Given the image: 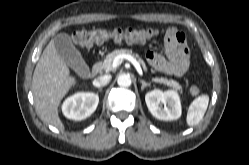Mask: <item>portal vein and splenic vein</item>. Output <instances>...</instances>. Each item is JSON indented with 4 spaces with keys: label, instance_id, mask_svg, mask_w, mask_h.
Listing matches in <instances>:
<instances>
[{
    "label": "portal vein and splenic vein",
    "instance_id": "obj_1",
    "mask_svg": "<svg viewBox=\"0 0 249 165\" xmlns=\"http://www.w3.org/2000/svg\"><path fill=\"white\" fill-rule=\"evenodd\" d=\"M124 59L130 61L133 64V66L136 68L140 76L143 75V71H142V68L139 62L131 55L122 54V55L116 56L112 62V67L113 68L118 67L123 62Z\"/></svg>",
    "mask_w": 249,
    "mask_h": 165
}]
</instances>
